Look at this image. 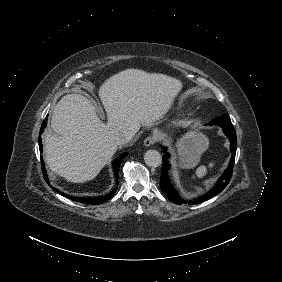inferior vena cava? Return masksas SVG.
I'll return each mask as SVG.
<instances>
[{"mask_svg":"<svg viewBox=\"0 0 282 282\" xmlns=\"http://www.w3.org/2000/svg\"><path fill=\"white\" fill-rule=\"evenodd\" d=\"M135 130L130 127H121L114 131V140L117 145H124L125 143L131 141L135 135Z\"/></svg>","mask_w":282,"mask_h":282,"instance_id":"602c4592","label":"inferior vena cava"}]
</instances>
